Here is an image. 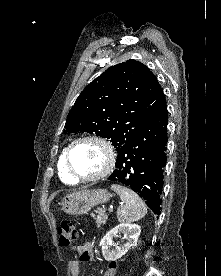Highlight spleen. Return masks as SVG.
Segmentation results:
<instances>
[{"label": "spleen", "instance_id": "obj_1", "mask_svg": "<svg viewBox=\"0 0 221 276\" xmlns=\"http://www.w3.org/2000/svg\"><path fill=\"white\" fill-rule=\"evenodd\" d=\"M111 189L116 192L124 206L117 209V218L119 222H134L143 218L147 213V208L142 199L132 190L113 184Z\"/></svg>", "mask_w": 221, "mask_h": 276}]
</instances>
